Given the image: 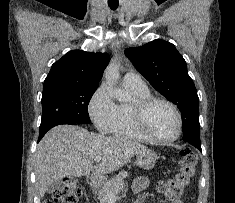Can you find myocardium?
<instances>
[{"instance_id": "1", "label": "myocardium", "mask_w": 235, "mask_h": 203, "mask_svg": "<svg viewBox=\"0 0 235 203\" xmlns=\"http://www.w3.org/2000/svg\"><path fill=\"white\" fill-rule=\"evenodd\" d=\"M158 102L167 104L169 107H171V109L174 111L176 115L177 130L176 133L169 138H159L152 135L148 131L145 124V115L147 110L149 109L150 106ZM130 113L134 127L139 132V134L142 135L148 141L159 144H168L176 141L182 134L183 130L182 114L177 105L174 102L170 101L169 99L157 96L137 98L130 104Z\"/></svg>"}]
</instances>
